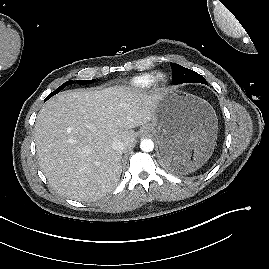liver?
Masks as SVG:
<instances>
[{"mask_svg":"<svg viewBox=\"0 0 269 269\" xmlns=\"http://www.w3.org/2000/svg\"><path fill=\"white\" fill-rule=\"evenodd\" d=\"M157 95L126 86L65 91L37 115L34 139L39 164L51 186L77 201H96L113 191L122 152L135 144L133 128L151 121ZM115 140L124 150L111 146Z\"/></svg>","mask_w":269,"mask_h":269,"instance_id":"obj_1","label":"liver"}]
</instances>
